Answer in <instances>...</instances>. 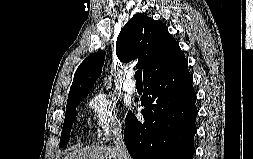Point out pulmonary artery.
<instances>
[{
  "instance_id": "e3ab8cb5",
  "label": "pulmonary artery",
  "mask_w": 253,
  "mask_h": 159,
  "mask_svg": "<svg viewBox=\"0 0 253 159\" xmlns=\"http://www.w3.org/2000/svg\"><path fill=\"white\" fill-rule=\"evenodd\" d=\"M134 73L129 71L126 73V80L124 83V89L127 93L133 94L137 91L135 82H133Z\"/></svg>"
}]
</instances>
